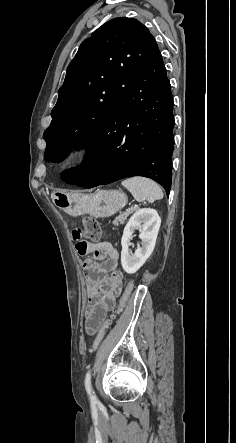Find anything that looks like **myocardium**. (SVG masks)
Returning a JSON list of instances; mask_svg holds the SVG:
<instances>
[{"instance_id": "myocardium-1", "label": "myocardium", "mask_w": 236, "mask_h": 443, "mask_svg": "<svg viewBox=\"0 0 236 443\" xmlns=\"http://www.w3.org/2000/svg\"><path fill=\"white\" fill-rule=\"evenodd\" d=\"M90 146L85 142H75L62 153V164L68 168L81 165L90 155Z\"/></svg>"}]
</instances>
